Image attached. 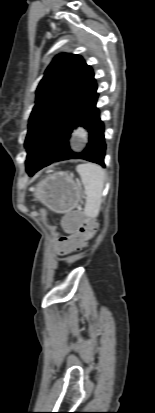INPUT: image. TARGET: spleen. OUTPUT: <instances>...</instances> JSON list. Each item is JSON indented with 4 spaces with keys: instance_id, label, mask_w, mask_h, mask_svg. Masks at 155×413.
<instances>
[{
    "instance_id": "obj_1",
    "label": "spleen",
    "mask_w": 155,
    "mask_h": 413,
    "mask_svg": "<svg viewBox=\"0 0 155 413\" xmlns=\"http://www.w3.org/2000/svg\"><path fill=\"white\" fill-rule=\"evenodd\" d=\"M76 170L86 194L84 214L89 218H96L101 208L106 173L100 166L92 163L79 164Z\"/></svg>"
}]
</instances>
